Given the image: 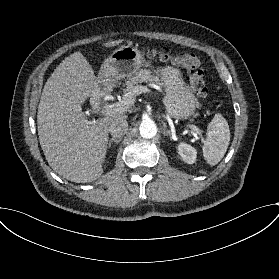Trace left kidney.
I'll return each mask as SVG.
<instances>
[{
    "mask_svg": "<svg viewBox=\"0 0 279 279\" xmlns=\"http://www.w3.org/2000/svg\"><path fill=\"white\" fill-rule=\"evenodd\" d=\"M178 154L181 156L182 160L188 164H193L196 161V149L185 142L179 143Z\"/></svg>",
    "mask_w": 279,
    "mask_h": 279,
    "instance_id": "left-kidney-1",
    "label": "left kidney"
}]
</instances>
